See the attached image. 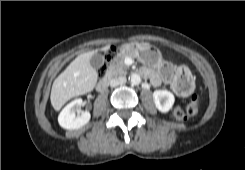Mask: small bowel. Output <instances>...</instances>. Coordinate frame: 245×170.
Here are the masks:
<instances>
[{
  "label": "small bowel",
  "mask_w": 245,
  "mask_h": 170,
  "mask_svg": "<svg viewBox=\"0 0 245 170\" xmlns=\"http://www.w3.org/2000/svg\"><path fill=\"white\" fill-rule=\"evenodd\" d=\"M141 74L149 78L150 83L154 87H158L161 84L171 85L172 81L176 78L177 75L185 76L184 71H177L175 67L170 63H163L159 66L156 71H152L148 68H143Z\"/></svg>",
  "instance_id": "c3829d8e"
}]
</instances>
